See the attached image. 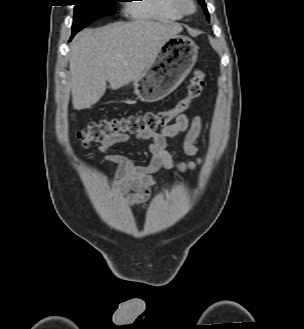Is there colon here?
I'll return each instance as SVG.
<instances>
[{
    "mask_svg": "<svg viewBox=\"0 0 304 329\" xmlns=\"http://www.w3.org/2000/svg\"><path fill=\"white\" fill-rule=\"evenodd\" d=\"M206 82L205 68L194 72L187 94L179 98L173 107L149 111L139 115L103 118L93 121L78 133V139L85 146L100 142L112 135H142L150 136L160 128L167 127L176 117L189 110L192 101L197 98Z\"/></svg>",
    "mask_w": 304,
    "mask_h": 329,
    "instance_id": "5ec220e1",
    "label": "colon"
}]
</instances>
